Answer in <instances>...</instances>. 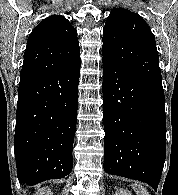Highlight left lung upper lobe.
<instances>
[{
  "instance_id": "5c2ea615",
  "label": "left lung upper lobe",
  "mask_w": 178,
  "mask_h": 195,
  "mask_svg": "<svg viewBox=\"0 0 178 195\" xmlns=\"http://www.w3.org/2000/svg\"><path fill=\"white\" fill-rule=\"evenodd\" d=\"M103 59L162 84L155 38L141 16L127 9L111 11L103 29Z\"/></svg>"
}]
</instances>
